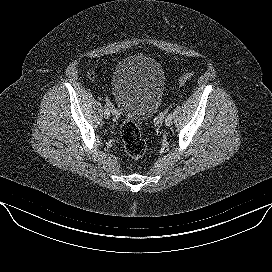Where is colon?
<instances>
[{"mask_svg": "<svg viewBox=\"0 0 272 272\" xmlns=\"http://www.w3.org/2000/svg\"><path fill=\"white\" fill-rule=\"evenodd\" d=\"M192 76L193 73H186L180 78L179 84L184 85ZM121 138L124 151L132 160L138 161L144 156L147 144L136 123L125 121L121 127Z\"/></svg>", "mask_w": 272, "mask_h": 272, "instance_id": "obj_1", "label": "colon"}]
</instances>
